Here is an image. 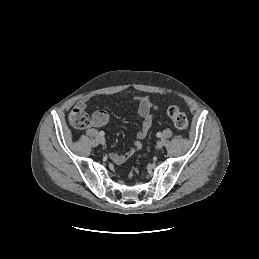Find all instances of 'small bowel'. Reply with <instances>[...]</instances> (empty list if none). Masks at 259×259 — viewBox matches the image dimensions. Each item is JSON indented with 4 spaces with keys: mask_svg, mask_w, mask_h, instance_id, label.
I'll return each instance as SVG.
<instances>
[{
    "mask_svg": "<svg viewBox=\"0 0 259 259\" xmlns=\"http://www.w3.org/2000/svg\"><path fill=\"white\" fill-rule=\"evenodd\" d=\"M89 98L84 97L80 99L76 108L85 109ZM158 110L149 98L140 96L136 98V119L141 122V128L137 133V139L133 145L125 153H113L111 158L117 164H122L128 160L136 151L142 147V140L146 137L154 117V112ZM109 115L104 110H97L93 113L92 125L95 127H101L108 123Z\"/></svg>",
    "mask_w": 259,
    "mask_h": 259,
    "instance_id": "obj_1",
    "label": "small bowel"
}]
</instances>
